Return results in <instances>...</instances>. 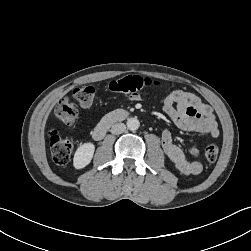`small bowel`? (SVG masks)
<instances>
[{
    "mask_svg": "<svg viewBox=\"0 0 251 251\" xmlns=\"http://www.w3.org/2000/svg\"><path fill=\"white\" fill-rule=\"evenodd\" d=\"M140 96L132 95L130 100H140ZM160 105L164 113L181 130L198 132L217 137L218 125L212 108L195 94L174 90L164 96ZM162 147L173 166L184 175H198L203 166L200 162V150L196 144L190 148L191 159L173 141L171 132L163 130Z\"/></svg>",
    "mask_w": 251,
    "mask_h": 251,
    "instance_id": "1",
    "label": "small bowel"
}]
</instances>
